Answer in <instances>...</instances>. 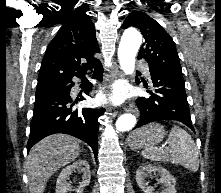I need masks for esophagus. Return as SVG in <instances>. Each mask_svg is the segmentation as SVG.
Returning a JSON list of instances; mask_svg holds the SVG:
<instances>
[{
    "mask_svg": "<svg viewBox=\"0 0 221 193\" xmlns=\"http://www.w3.org/2000/svg\"><path fill=\"white\" fill-rule=\"evenodd\" d=\"M112 79H116V78H122L123 77V73L121 72L120 69L116 68L112 74H111ZM124 110L126 112H132L135 115H139V110L138 108L135 106V104L133 102H128L127 104L124 105Z\"/></svg>",
    "mask_w": 221,
    "mask_h": 193,
    "instance_id": "34e87169",
    "label": "esophagus"
}]
</instances>
